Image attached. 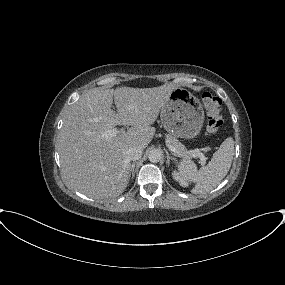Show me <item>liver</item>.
Instances as JSON below:
<instances>
[{
  "instance_id": "1",
  "label": "liver",
  "mask_w": 285,
  "mask_h": 285,
  "mask_svg": "<svg viewBox=\"0 0 285 285\" xmlns=\"http://www.w3.org/2000/svg\"><path fill=\"white\" fill-rule=\"evenodd\" d=\"M174 84L153 88H95L86 91L71 105L60 131L58 151L62 174L84 195L115 198L127 187L131 147L146 148L152 127ZM115 103L117 113L111 109ZM117 125L131 126L127 132L106 139L104 132Z\"/></svg>"
}]
</instances>
